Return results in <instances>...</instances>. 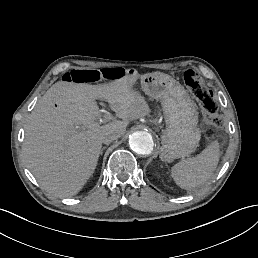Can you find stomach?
Listing matches in <instances>:
<instances>
[{
	"label": "stomach",
	"instance_id": "stomach-1",
	"mask_svg": "<svg viewBox=\"0 0 258 258\" xmlns=\"http://www.w3.org/2000/svg\"><path fill=\"white\" fill-rule=\"evenodd\" d=\"M132 78L129 87L139 77L129 72ZM125 76V78L127 77ZM141 89L154 99H161L167 129L162 135L160 157L163 161L185 157L193 153L200 140V130L196 127V104L183 86L169 75L152 73L141 76Z\"/></svg>",
	"mask_w": 258,
	"mask_h": 258
}]
</instances>
